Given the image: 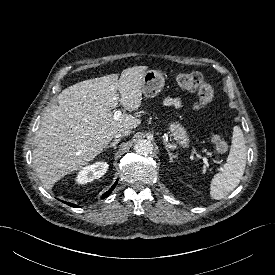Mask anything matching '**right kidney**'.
Here are the masks:
<instances>
[{
    "label": "right kidney",
    "instance_id": "obj_1",
    "mask_svg": "<svg viewBox=\"0 0 275 275\" xmlns=\"http://www.w3.org/2000/svg\"><path fill=\"white\" fill-rule=\"evenodd\" d=\"M109 165L107 162H96L91 165H87L83 167L76 177V182L78 184H86L88 182H92L94 179H99L102 177Z\"/></svg>",
    "mask_w": 275,
    "mask_h": 275
}]
</instances>
